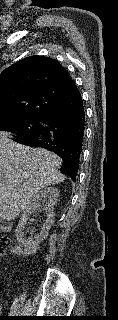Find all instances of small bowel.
Masks as SVG:
<instances>
[{
    "instance_id": "obj_1",
    "label": "small bowel",
    "mask_w": 118,
    "mask_h": 320,
    "mask_svg": "<svg viewBox=\"0 0 118 320\" xmlns=\"http://www.w3.org/2000/svg\"><path fill=\"white\" fill-rule=\"evenodd\" d=\"M1 311H2V306H1V304H0V313H1Z\"/></svg>"
}]
</instances>
